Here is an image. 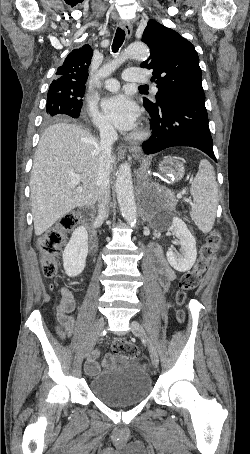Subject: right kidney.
<instances>
[{"label": "right kidney", "instance_id": "obj_1", "mask_svg": "<svg viewBox=\"0 0 250 454\" xmlns=\"http://www.w3.org/2000/svg\"><path fill=\"white\" fill-rule=\"evenodd\" d=\"M88 255V233L81 226L72 233L69 243L63 251V266L65 273L70 277L81 274L86 266Z\"/></svg>", "mask_w": 250, "mask_h": 454}]
</instances>
